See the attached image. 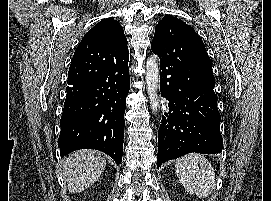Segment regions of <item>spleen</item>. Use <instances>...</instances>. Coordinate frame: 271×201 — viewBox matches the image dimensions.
I'll list each match as a JSON object with an SVG mask.
<instances>
[{"label": "spleen", "mask_w": 271, "mask_h": 201, "mask_svg": "<svg viewBox=\"0 0 271 201\" xmlns=\"http://www.w3.org/2000/svg\"><path fill=\"white\" fill-rule=\"evenodd\" d=\"M175 173L189 194L199 198L209 196L216 179L211 163L203 155L190 153L176 161Z\"/></svg>", "instance_id": "spleen-1"}]
</instances>
